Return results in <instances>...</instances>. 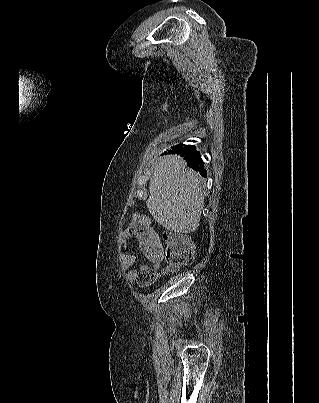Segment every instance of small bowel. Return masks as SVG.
Listing matches in <instances>:
<instances>
[{
	"label": "small bowel",
	"mask_w": 319,
	"mask_h": 403,
	"mask_svg": "<svg viewBox=\"0 0 319 403\" xmlns=\"http://www.w3.org/2000/svg\"><path fill=\"white\" fill-rule=\"evenodd\" d=\"M131 236H134L132 231L125 233V237H131ZM135 262H136L135 253L130 252L124 255L122 261V267L124 269H129L127 276L128 279L132 282H134L138 278L139 271L142 272L150 269V267L147 264H141L138 269H131L134 266ZM158 265L159 263L154 264L155 267H157Z\"/></svg>",
	"instance_id": "small-bowel-1"
}]
</instances>
